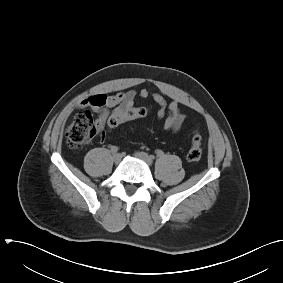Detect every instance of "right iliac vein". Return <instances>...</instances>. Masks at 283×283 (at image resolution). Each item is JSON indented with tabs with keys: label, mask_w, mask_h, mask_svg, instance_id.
Masks as SVG:
<instances>
[{
	"label": "right iliac vein",
	"mask_w": 283,
	"mask_h": 283,
	"mask_svg": "<svg viewBox=\"0 0 283 283\" xmlns=\"http://www.w3.org/2000/svg\"><path fill=\"white\" fill-rule=\"evenodd\" d=\"M121 159H122L121 154L117 153V154L113 155V161H114L115 164H118L121 161Z\"/></svg>",
	"instance_id": "1"
}]
</instances>
